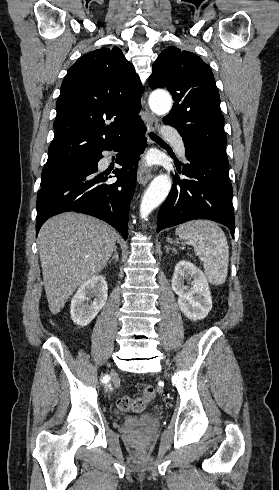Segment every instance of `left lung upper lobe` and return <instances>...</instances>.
<instances>
[{
    "label": "left lung upper lobe",
    "instance_id": "obj_1",
    "mask_svg": "<svg viewBox=\"0 0 279 490\" xmlns=\"http://www.w3.org/2000/svg\"><path fill=\"white\" fill-rule=\"evenodd\" d=\"M152 89L167 88L175 103L163 122L186 142H201L225 153L226 134L220 96L211 68L189 51L168 47L153 63Z\"/></svg>",
    "mask_w": 279,
    "mask_h": 490
}]
</instances>
